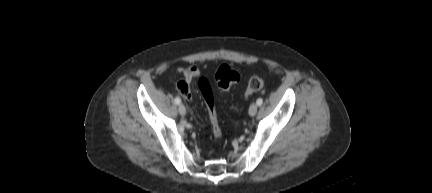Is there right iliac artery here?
Returning a JSON list of instances; mask_svg holds the SVG:
<instances>
[{
  "label": "right iliac artery",
  "mask_w": 432,
  "mask_h": 193,
  "mask_svg": "<svg viewBox=\"0 0 432 193\" xmlns=\"http://www.w3.org/2000/svg\"><path fill=\"white\" fill-rule=\"evenodd\" d=\"M174 102L175 104L179 105L181 103V99L179 97H176Z\"/></svg>",
  "instance_id": "right-iliac-artery-1"
}]
</instances>
